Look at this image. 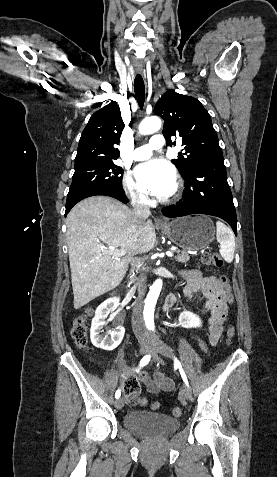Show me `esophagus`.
Segmentation results:
<instances>
[{"mask_svg":"<svg viewBox=\"0 0 277 477\" xmlns=\"http://www.w3.org/2000/svg\"><path fill=\"white\" fill-rule=\"evenodd\" d=\"M138 73H142V72H141V71H138ZM156 222H157L158 224H164V223H165V221H164L162 218H160V217H158V218L156 219Z\"/></svg>","mask_w":277,"mask_h":477,"instance_id":"obj_1","label":"esophagus"}]
</instances>
